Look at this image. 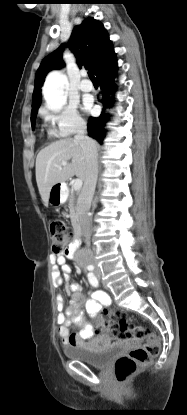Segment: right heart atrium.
I'll use <instances>...</instances> for the list:
<instances>
[{"label":"right heart atrium","mask_w":187,"mask_h":415,"mask_svg":"<svg viewBox=\"0 0 187 415\" xmlns=\"http://www.w3.org/2000/svg\"><path fill=\"white\" fill-rule=\"evenodd\" d=\"M44 120L58 137H68L85 129V121L73 105H65L60 110L42 109Z\"/></svg>","instance_id":"d8ad5b80"}]
</instances>
